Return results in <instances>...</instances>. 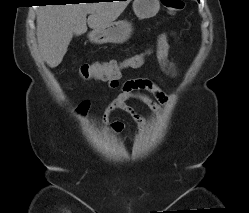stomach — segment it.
Instances as JSON below:
<instances>
[{"instance_id":"0dacf381","label":"stomach","mask_w":249,"mask_h":213,"mask_svg":"<svg viewBox=\"0 0 249 213\" xmlns=\"http://www.w3.org/2000/svg\"><path fill=\"white\" fill-rule=\"evenodd\" d=\"M133 11L139 19L154 17L160 9V0H134ZM132 33V24L126 20L114 21L89 33L90 41L96 44L126 42Z\"/></svg>"}]
</instances>
